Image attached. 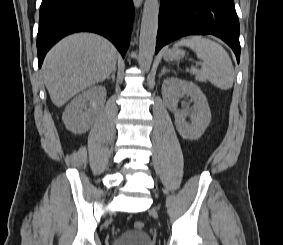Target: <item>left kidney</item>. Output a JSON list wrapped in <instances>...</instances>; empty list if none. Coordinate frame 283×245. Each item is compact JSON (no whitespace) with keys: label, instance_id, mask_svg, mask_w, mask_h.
Returning a JSON list of instances; mask_svg holds the SVG:
<instances>
[{"label":"left kidney","instance_id":"1","mask_svg":"<svg viewBox=\"0 0 283 245\" xmlns=\"http://www.w3.org/2000/svg\"><path fill=\"white\" fill-rule=\"evenodd\" d=\"M183 95L189 96L194 103L189 122L185 120L184 112L176 110L179 98ZM162 96L175 114V125L179 134L185 139H199L211 121L210 108L201 89L192 82L171 77L163 81Z\"/></svg>","mask_w":283,"mask_h":245}]
</instances>
